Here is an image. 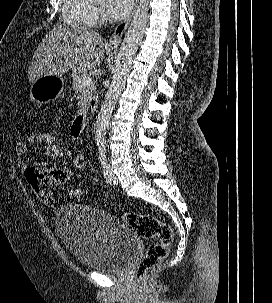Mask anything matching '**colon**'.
I'll return each instance as SVG.
<instances>
[{"label": "colon", "mask_w": 272, "mask_h": 303, "mask_svg": "<svg viewBox=\"0 0 272 303\" xmlns=\"http://www.w3.org/2000/svg\"><path fill=\"white\" fill-rule=\"evenodd\" d=\"M39 146L45 150L58 148V141L55 134L51 131H42L36 134ZM73 166L78 171L85 170L87 161L84 155L76 154L73 157ZM26 178L35 191L38 198L45 205H53V194L47 190L41 189L38 184L34 169H27ZM72 195L83 196L85 191L76 188L70 191ZM124 221L143 239H154L137 267V275L144 279L155 267H157L168 255L170 246L173 242L174 232L170 225L162 223L158 218L149 214L128 212L123 216Z\"/></svg>", "instance_id": "colon-1"}]
</instances>
